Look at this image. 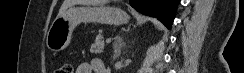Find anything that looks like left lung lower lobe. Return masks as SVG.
<instances>
[{"mask_svg":"<svg viewBox=\"0 0 244 73\" xmlns=\"http://www.w3.org/2000/svg\"><path fill=\"white\" fill-rule=\"evenodd\" d=\"M130 5L140 13L157 17L167 28H171L175 9L180 0H129Z\"/></svg>","mask_w":244,"mask_h":73,"instance_id":"1","label":"left lung lower lobe"}]
</instances>
